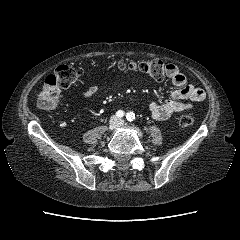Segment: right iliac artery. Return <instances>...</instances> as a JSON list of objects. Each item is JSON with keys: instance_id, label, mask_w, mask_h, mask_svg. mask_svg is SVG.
Here are the masks:
<instances>
[{"instance_id": "82829eb1", "label": "right iliac artery", "mask_w": 240, "mask_h": 240, "mask_svg": "<svg viewBox=\"0 0 240 240\" xmlns=\"http://www.w3.org/2000/svg\"><path fill=\"white\" fill-rule=\"evenodd\" d=\"M124 115H125V113H124V111H122V110H118V111L116 112V116H117L118 118H122Z\"/></svg>"}]
</instances>
